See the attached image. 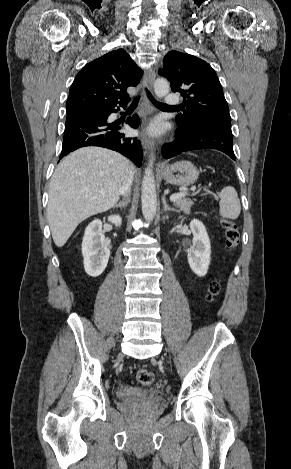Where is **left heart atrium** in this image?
Masks as SVG:
<instances>
[{"label": "left heart atrium", "instance_id": "39dd6f15", "mask_svg": "<svg viewBox=\"0 0 291 469\" xmlns=\"http://www.w3.org/2000/svg\"><path fill=\"white\" fill-rule=\"evenodd\" d=\"M149 132L152 134H158L161 132V126L158 122H154L149 127Z\"/></svg>", "mask_w": 291, "mask_h": 469}]
</instances>
